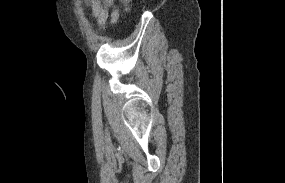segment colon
I'll list each match as a JSON object with an SVG mask.
<instances>
[{
  "label": "colon",
  "instance_id": "colon-1",
  "mask_svg": "<svg viewBox=\"0 0 285 183\" xmlns=\"http://www.w3.org/2000/svg\"><path fill=\"white\" fill-rule=\"evenodd\" d=\"M121 2L127 7L130 5V3L132 2V0H121Z\"/></svg>",
  "mask_w": 285,
  "mask_h": 183
}]
</instances>
